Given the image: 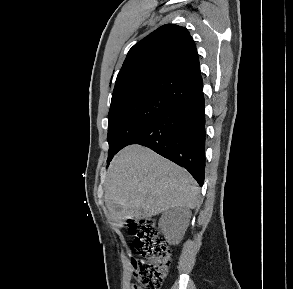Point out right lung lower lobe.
<instances>
[{
  "mask_svg": "<svg viewBox=\"0 0 293 289\" xmlns=\"http://www.w3.org/2000/svg\"><path fill=\"white\" fill-rule=\"evenodd\" d=\"M130 144L146 146L183 166L202 186L205 173L203 92L173 104L134 135L127 143Z\"/></svg>",
  "mask_w": 293,
  "mask_h": 289,
  "instance_id": "right-lung-lower-lobe-1",
  "label": "right lung lower lobe"
}]
</instances>
